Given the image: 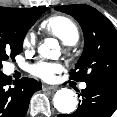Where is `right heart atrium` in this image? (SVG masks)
<instances>
[{
	"mask_svg": "<svg viewBox=\"0 0 117 117\" xmlns=\"http://www.w3.org/2000/svg\"><path fill=\"white\" fill-rule=\"evenodd\" d=\"M35 43L36 36L33 32H28L22 40V45L26 49H32L35 46Z\"/></svg>",
	"mask_w": 117,
	"mask_h": 117,
	"instance_id": "obj_1",
	"label": "right heart atrium"
}]
</instances>
